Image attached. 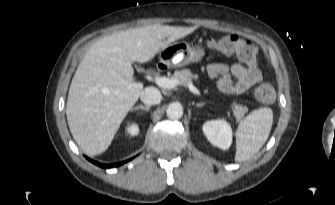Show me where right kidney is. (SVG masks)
<instances>
[{
	"label": "right kidney",
	"instance_id": "1",
	"mask_svg": "<svg viewBox=\"0 0 335 205\" xmlns=\"http://www.w3.org/2000/svg\"><path fill=\"white\" fill-rule=\"evenodd\" d=\"M125 132L130 136H136L139 133V126L136 123H132L126 127Z\"/></svg>",
	"mask_w": 335,
	"mask_h": 205
}]
</instances>
